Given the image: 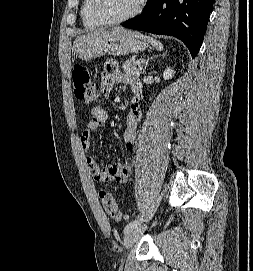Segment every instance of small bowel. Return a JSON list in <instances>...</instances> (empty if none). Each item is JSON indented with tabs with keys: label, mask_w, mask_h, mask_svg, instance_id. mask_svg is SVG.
Returning a JSON list of instances; mask_svg holds the SVG:
<instances>
[{
	"label": "small bowel",
	"mask_w": 253,
	"mask_h": 271,
	"mask_svg": "<svg viewBox=\"0 0 253 271\" xmlns=\"http://www.w3.org/2000/svg\"><path fill=\"white\" fill-rule=\"evenodd\" d=\"M116 84H123L130 88L132 99L130 112L126 118V129L123 133V141L130 151L136 148V132L141 122L140 95L142 85L140 81L130 74L122 73L117 63L107 61L104 64L101 76V91L107 97ZM108 120V113L101 107H94L91 110V119L79 135V141L85 150L91 145L92 134L103 128ZM86 164L91 177L98 182L116 181L125 182L131 175L134 160L128 158L125 163L113 165H99L92 157H87Z\"/></svg>",
	"instance_id": "obj_1"
}]
</instances>
